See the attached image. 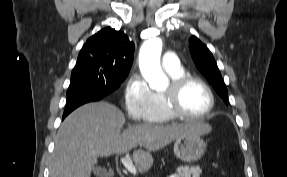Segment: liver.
Returning <instances> with one entry per match:
<instances>
[{
  "mask_svg": "<svg viewBox=\"0 0 287 177\" xmlns=\"http://www.w3.org/2000/svg\"><path fill=\"white\" fill-rule=\"evenodd\" d=\"M124 114L113 104L96 102L73 111L61 124L50 165V177H90L99 157L124 154L137 146L133 161L140 173L153 165L157 151L190 133L206 134L211 126L191 120L169 125L140 124L121 133Z\"/></svg>",
  "mask_w": 287,
  "mask_h": 177,
  "instance_id": "1",
  "label": "liver"
}]
</instances>
